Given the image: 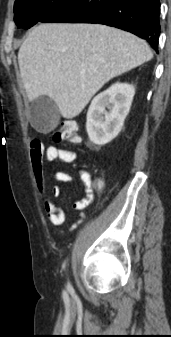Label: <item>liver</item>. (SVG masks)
I'll return each instance as SVG.
<instances>
[{
	"label": "liver",
	"mask_w": 171,
	"mask_h": 337,
	"mask_svg": "<svg viewBox=\"0 0 171 337\" xmlns=\"http://www.w3.org/2000/svg\"><path fill=\"white\" fill-rule=\"evenodd\" d=\"M152 57L146 41L120 29L45 23L21 45L18 64L29 100L48 96L63 118L72 119L106 82Z\"/></svg>",
	"instance_id": "obj_1"
}]
</instances>
